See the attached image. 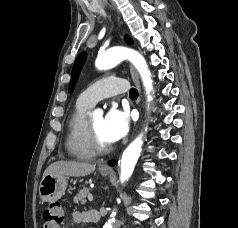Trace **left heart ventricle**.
<instances>
[{
  "label": "left heart ventricle",
  "instance_id": "left-heart-ventricle-1",
  "mask_svg": "<svg viewBox=\"0 0 238 228\" xmlns=\"http://www.w3.org/2000/svg\"><path fill=\"white\" fill-rule=\"evenodd\" d=\"M93 129L95 130L99 140L104 144H110V142L106 139L104 136L103 131V118L102 117H96L90 120Z\"/></svg>",
  "mask_w": 238,
  "mask_h": 228
}]
</instances>
